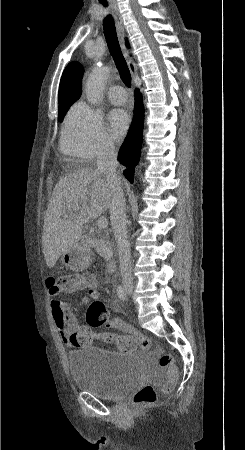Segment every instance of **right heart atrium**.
I'll return each instance as SVG.
<instances>
[{"mask_svg":"<svg viewBox=\"0 0 245 450\" xmlns=\"http://www.w3.org/2000/svg\"><path fill=\"white\" fill-rule=\"evenodd\" d=\"M61 147L71 157L93 160L111 153L115 145L101 115L80 101L70 108L65 117Z\"/></svg>","mask_w":245,"mask_h":450,"instance_id":"d8ad5b80","label":"right heart atrium"}]
</instances>
